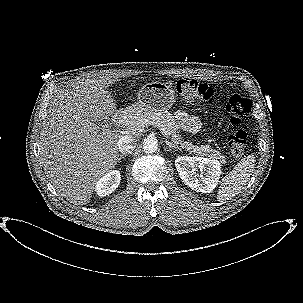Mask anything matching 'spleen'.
I'll use <instances>...</instances> for the list:
<instances>
[{
  "label": "spleen",
  "mask_w": 303,
  "mask_h": 303,
  "mask_svg": "<svg viewBox=\"0 0 303 303\" xmlns=\"http://www.w3.org/2000/svg\"><path fill=\"white\" fill-rule=\"evenodd\" d=\"M255 168V156L242 158L220 183L217 200L223 202L236 196L248 183Z\"/></svg>",
  "instance_id": "1"
}]
</instances>
